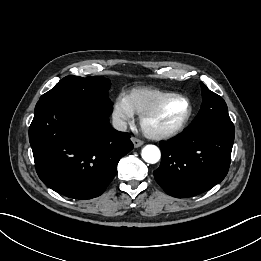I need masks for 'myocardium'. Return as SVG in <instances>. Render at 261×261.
Here are the masks:
<instances>
[{
  "label": "myocardium",
  "instance_id": "myocardium-1",
  "mask_svg": "<svg viewBox=\"0 0 261 261\" xmlns=\"http://www.w3.org/2000/svg\"><path fill=\"white\" fill-rule=\"evenodd\" d=\"M175 99L186 102L187 112L184 115V117L172 127L161 128V129L151 127L150 126L151 120L157 117L170 101ZM192 113H193V106L191 101L187 97L181 94H170L165 98H163L155 106H153L152 108H150L149 110L141 114L140 126L144 134L149 138L156 139V140L167 139L177 135L186 127V125L188 124L192 116Z\"/></svg>",
  "mask_w": 261,
  "mask_h": 261
}]
</instances>
